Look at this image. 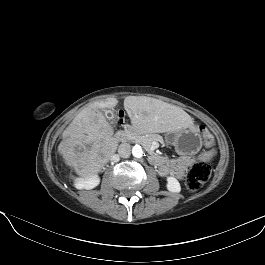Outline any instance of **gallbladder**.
I'll return each instance as SVG.
<instances>
[{"label":"gallbladder","mask_w":265,"mask_h":265,"mask_svg":"<svg viewBox=\"0 0 265 265\" xmlns=\"http://www.w3.org/2000/svg\"><path fill=\"white\" fill-rule=\"evenodd\" d=\"M106 116H107V118L110 120V119L113 118L114 114H113L112 111H107Z\"/></svg>","instance_id":"gallbladder-1"}]
</instances>
